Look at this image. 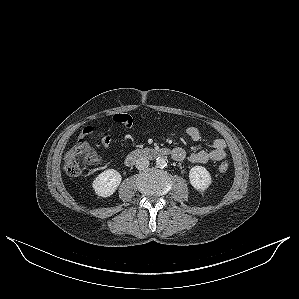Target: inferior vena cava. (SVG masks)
Masks as SVG:
<instances>
[{
  "instance_id": "602c4592",
  "label": "inferior vena cava",
  "mask_w": 299,
  "mask_h": 299,
  "mask_svg": "<svg viewBox=\"0 0 299 299\" xmlns=\"http://www.w3.org/2000/svg\"><path fill=\"white\" fill-rule=\"evenodd\" d=\"M149 166V161L147 158H139L136 161V168L138 170H144Z\"/></svg>"
}]
</instances>
